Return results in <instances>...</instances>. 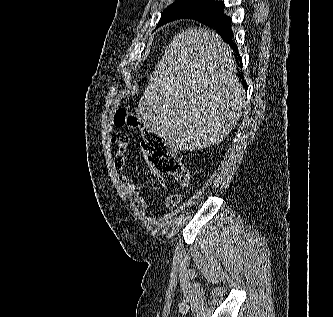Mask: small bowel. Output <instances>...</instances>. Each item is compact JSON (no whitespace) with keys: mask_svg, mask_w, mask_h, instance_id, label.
<instances>
[{"mask_svg":"<svg viewBox=\"0 0 333 317\" xmlns=\"http://www.w3.org/2000/svg\"><path fill=\"white\" fill-rule=\"evenodd\" d=\"M111 143L117 147V152L114 158V168L116 171L118 182L124 190L125 195L132 204L133 208L140 214L147 212V203L142 197L143 187L130 182L129 179L124 175L123 168L125 165V153L129 143V137L126 133L119 132L113 136ZM152 173L158 183L162 186L165 185L164 178L155 170ZM181 200V195L177 193L170 194L166 199L167 207L176 206Z\"/></svg>","mask_w":333,"mask_h":317,"instance_id":"obj_1","label":"small bowel"}]
</instances>
